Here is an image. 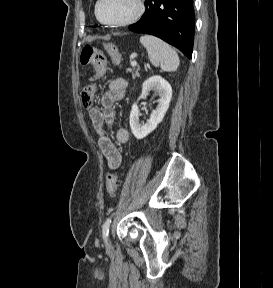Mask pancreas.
I'll return each instance as SVG.
<instances>
[{
    "label": "pancreas",
    "mask_w": 273,
    "mask_h": 288,
    "mask_svg": "<svg viewBox=\"0 0 273 288\" xmlns=\"http://www.w3.org/2000/svg\"><path fill=\"white\" fill-rule=\"evenodd\" d=\"M128 71L132 73V77H133V78L138 77L139 68H134V67H133V68L128 69Z\"/></svg>",
    "instance_id": "1"
}]
</instances>
